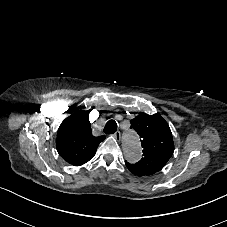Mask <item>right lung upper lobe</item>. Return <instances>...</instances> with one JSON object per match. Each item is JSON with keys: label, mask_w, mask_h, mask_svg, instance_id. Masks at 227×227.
Wrapping results in <instances>:
<instances>
[{"label": "right lung upper lobe", "mask_w": 227, "mask_h": 227, "mask_svg": "<svg viewBox=\"0 0 227 227\" xmlns=\"http://www.w3.org/2000/svg\"><path fill=\"white\" fill-rule=\"evenodd\" d=\"M104 139L105 136L92 135L88 112L77 111L61 123L56 147L63 159L79 166L93 158L99 143Z\"/></svg>", "instance_id": "cb5924a9"}]
</instances>
